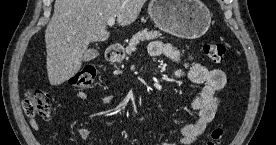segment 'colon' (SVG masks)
Returning <instances> with one entry per match:
<instances>
[{
  "mask_svg": "<svg viewBox=\"0 0 276 145\" xmlns=\"http://www.w3.org/2000/svg\"><path fill=\"white\" fill-rule=\"evenodd\" d=\"M203 52L214 63H221L226 54V47L222 43H207L203 46ZM97 75L94 65H86L73 74L69 84L77 88H87L92 85ZM23 109L27 116L46 118L51 113L50 94L43 89H33L27 92L23 101ZM223 135L221 128H215L207 145H217Z\"/></svg>",
  "mask_w": 276,
  "mask_h": 145,
  "instance_id": "obj_1",
  "label": "colon"
}]
</instances>
